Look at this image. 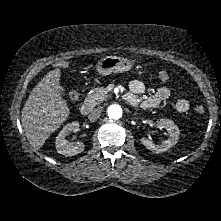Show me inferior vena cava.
<instances>
[{
    "mask_svg": "<svg viewBox=\"0 0 221 221\" xmlns=\"http://www.w3.org/2000/svg\"><path fill=\"white\" fill-rule=\"evenodd\" d=\"M101 108L100 107H97V108H94L90 111L89 115H88V119L93 122L95 120H97L99 117H100V113H101Z\"/></svg>",
    "mask_w": 221,
    "mask_h": 221,
    "instance_id": "obj_1",
    "label": "inferior vena cava"
}]
</instances>
